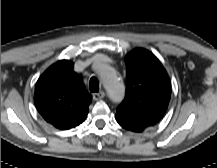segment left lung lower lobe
<instances>
[{"mask_svg": "<svg viewBox=\"0 0 217 168\" xmlns=\"http://www.w3.org/2000/svg\"><path fill=\"white\" fill-rule=\"evenodd\" d=\"M120 125H121L123 128L127 129V130L136 132L131 126H127V125H124V124H120Z\"/></svg>", "mask_w": 217, "mask_h": 168, "instance_id": "1", "label": "left lung lower lobe"}]
</instances>
